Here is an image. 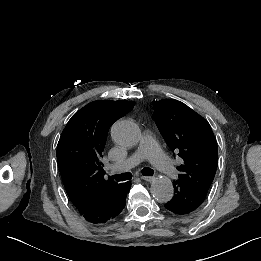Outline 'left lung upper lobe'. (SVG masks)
Wrapping results in <instances>:
<instances>
[{"label": "left lung upper lobe", "instance_id": "5c2ea615", "mask_svg": "<svg viewBox=\"0 0 261 261\" xmlns=\"http://www.w3.org/2000/svg\"><path fill=\"white\" fill-rule=\"evenodd\" d=\"M155 123L182 164L180 182L207 192L218 166L217 141L209 123L184 103L175 99L153 101Z\"/></svg>", "mask_w": 261, "mask_h": 261}]
</instances>
